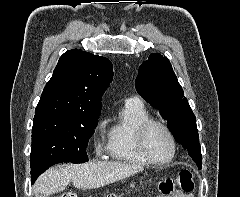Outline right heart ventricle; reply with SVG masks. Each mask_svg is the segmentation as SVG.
Segmentation results:
<instances>
[{"mask_svg":"<svg viewBox=\"0 0 240 197\" xmlns=\"http://www.w3.org/2000/svg\"><path fill=\"white\" fill-rule=\"evenodd\" d=\"M149 118L150 115L142 103L125 102L118 120L108 130L106 151L109 157L133 165L147 164L136 147L135 131Z\"/></svg>","mask_w":240,"mask_h":197,"instance_id":"obj_1","label":"right heart ventricle"}]
</instances>
